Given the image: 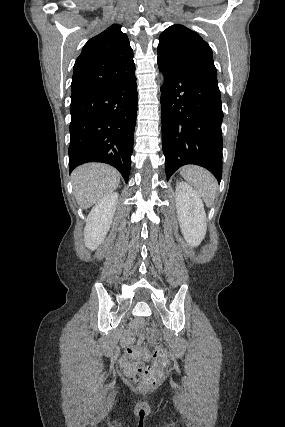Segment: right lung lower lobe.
<instances>
[{"mask_svg":"<svg viewBox=\"0 0 285 427\" xmlns=\"http://www.w3.org/2000/svg\"><path fill=\"white\" fill-rule=\"evenodd\" d=\"M136 77L71 98L69 171L88 162L114 166L128 182L137 114Z\"/></svg>","mask_w":285,"mask_h":427,"instance_id":"98d812e1","label":"right lung lower lobe"}]
</instances>
